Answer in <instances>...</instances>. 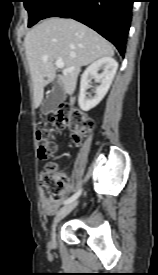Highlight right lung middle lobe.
Instances as JSON below:
<instances>
[{"label": "right lung middle lobe", "instance_id": "dd1d6c3e", "mask_svg": "<svg viewBox=\"0 0 158 275\" xmlns=\"http://www.w3.org/2000/svg\"><path fill=\"white\" fill-rule=\"evenodd\" d=\"M57 0H24V5L29 13V24L28 27L33 26L39 20H41L46 11L56 2Z\"/></svg>", "mask_w": 158, "mask_h": 275}]
</instances>
